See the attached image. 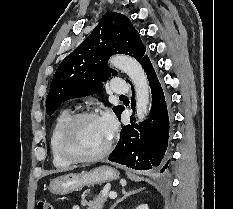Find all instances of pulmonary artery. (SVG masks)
<instances>
[{
	"label": "pulmonary artery",
	"mask_w": 233,
	"mask_h": 209,
	"mask_svg": "<svg viewBox=\"0 0 233 209\" xmlns=\"http://www.w3.org/2000/svg\"><path fill=\"white\" fill-rule=\"evenodd\" d=\"M112 90L117 94H125L129 91L127 84L118 77L112 79Z\"/></svg>",
	"instance_id": "obj_1"
}]
</instances>
